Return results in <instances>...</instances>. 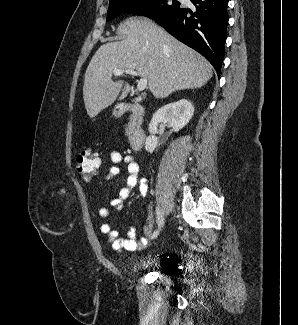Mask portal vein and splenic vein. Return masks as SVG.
Listing matches in <instances>:
<instances>
[{
  "instance_id": "obj_1",
  "label": "portal vein and splenic vein",
  "mask_w": 298,
  "mask_h": 325,
  "mask_svg": "<svg viewBox=\"0 0 298 325\" xmlns=\"http://www.w3.org/2000/svg\"><path fill=\"white\" fill-rule=\"evenodd\" d=\"M124 72H128V74H133V76H138L137 70H133V68H127V70H123V68H116V70H113L114 76H121V74H124ZM147 86V78L143 76V78H140L137 88L138 90H144Z\"/></svg>"
}]
</instances>
